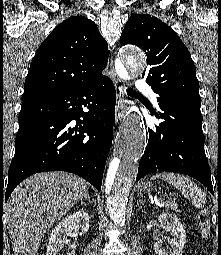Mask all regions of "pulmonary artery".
<instances>
[{"instance_id": "pulmonary-artery-1", "label": "pulmonary artery", "mask_w": 221, "mask_h": 255, "mask_svg": "<svg viewBox=\"0 0 221 255\" xmlns=\"http://www.w3.org/2000/svg\"><path fill=\"white\" fill-rule=\"evenodd\" d=\"M136 89H137L138 93H140L142 95L150 96L151 99L153 100V102L155 104H157L156 94L152 90V87L150 86V84H148L146 81L138 80L136 82Z\"/></svg>"}]
</instances>
